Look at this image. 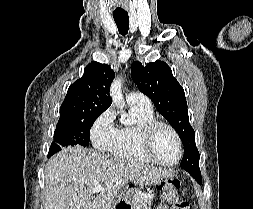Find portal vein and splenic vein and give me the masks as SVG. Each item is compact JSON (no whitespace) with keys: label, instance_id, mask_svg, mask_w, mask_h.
<instances>
[{"label":"portal vein and splenic vein","instance_id":"obj_1","mask_svg":"<svg viewBox=\"0 0 253 209\" xmlns=\"http://www.w3.org/2000/svg\"><path fill=\"white\" fill-rule=\"evenodd\" d=\"M104 190V188L100 185V184H97L94 186L92 192L93 193H98V192H102Z\"/></svg>","mask_w":253,"mask_h":209}]
</instances>
